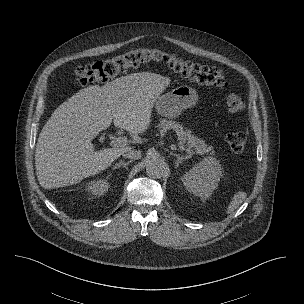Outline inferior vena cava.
Masks as SVG:
<instances>
[{
	"label": "inferior vena cava",
	"instance_id": "inferior-vena-cava-1",
	"mask_svg": "<svg viewBox=\"0 0 304 304\" xmlns=\"http://www.w3.org/2000/svg\"><path fill=\"white\" fill-rule=\"evenodd\" d=\"M125 158L131 159H140L141 158V151L136 149H129L122 154Z\"/></svg>",
	"mask_w": 304,
	"mask_h": 304
}]
</instances>
